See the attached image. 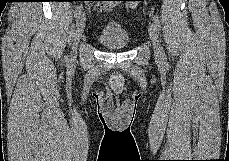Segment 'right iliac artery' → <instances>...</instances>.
<instances>
[{"label": "right iliac artery", "mask_w": 229, "mask_h": 161, "mask_svg": "<svg viewBox=\"0 0 229 161\" xmlns=\"http://www.w3.org/2000/svg\"><path fill=\"white\" fill-rule=\"evenodd\" d=\"M82 17V8L78 7L75 11V18L76 21L78 22V20Z\"/></svg>", "instance_id": "right-iliac-artery-1"}]
</instances>
